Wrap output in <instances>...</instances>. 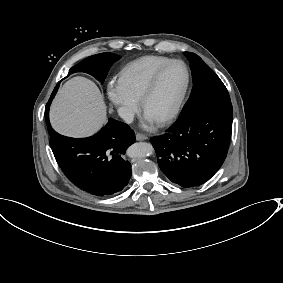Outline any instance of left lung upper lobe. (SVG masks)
I'll return each instance as SVG.
<instances>
[{
  "instance_id": "obj_1",
  "label": "left lung upper lobe",
  "mask_w": 283,
  "mask_h": 283,
  "mask_svg": "<svg viewBox=\"0 0 283 283\" xmlns=\"http://www.w3.org/2000/svg\"><path fill=\"white\" fill-rule=\"evenodd\" d=\"M184 54L190 61L193 89L179 117L191 113L205 104L230 102L225 85L203 60L192 52Z\"/></svg>"
}]
</instances>
